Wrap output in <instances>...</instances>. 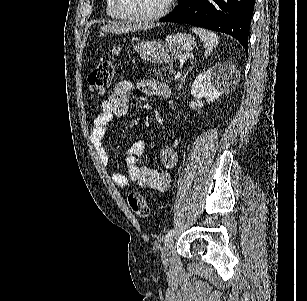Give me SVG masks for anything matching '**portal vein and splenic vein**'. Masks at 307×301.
<instances>
[{
	"mask_svg": "<svg viewBox=\"0 0 307 301\" xmlns=\"http://www.w3.org/2000/svg\"><path fill=\"white\" fill-rule=\"evenodd\" d=\"M176 76H177V78H179V76H181L180 70H178V72H176Z\"/></svg>",
	"mask_w": 307,
	"mask_h": 301,
	"instance_id": "portal-vein-and-splenic-vein-1",
	"label": "portal vein and splenic vein"
}]
</instances>
